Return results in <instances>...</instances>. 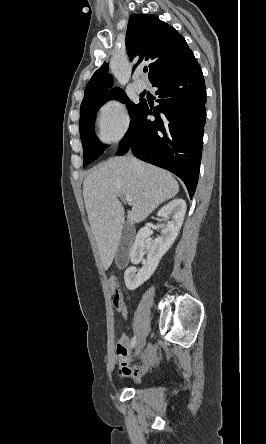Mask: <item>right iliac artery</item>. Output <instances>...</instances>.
I'll return each mask as SVG.
<instances>
[{
  "label": "right iliac artery",
  "instance_id": "82829eb1",
  "mask_svg": "<svg viewBox=\"0 0 266 444\" xmlns=\"http://www.w3.org/2000/svg\"><path fill=\"white\" fill-rule=\"evenodd\" d=\"M135 345H136V336H134V337L132 338V340H131V342H130V347H131V348H134Z\"/></svg>",
  "mask_w": 266,
  "mask_h": 444
}]
</instances>
